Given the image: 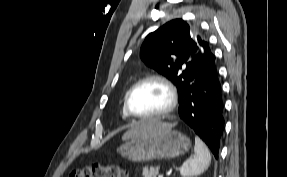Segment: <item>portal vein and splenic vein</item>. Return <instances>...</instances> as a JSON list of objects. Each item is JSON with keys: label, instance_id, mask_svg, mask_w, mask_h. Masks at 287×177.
Returning a JSON list of instances; mask_svg holds the SVG:
<instances>
[{"label": "portal vein and splenic vein", "instance_id": "portal-vein-and-splenic-vein-1", "mask_svg": "<svg viewBox=\"0 0 287 177\" xmlns=\"http://www.w3.org/2000/svg\"><path fill=\"white\" fill-rule=\"evenodd\" d=\"M158 177H163V175H159Z\"/></svg>", "mask_w": 287, "mask_h": 177}]
</instances>
